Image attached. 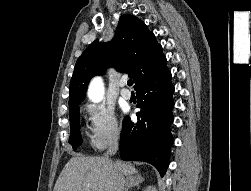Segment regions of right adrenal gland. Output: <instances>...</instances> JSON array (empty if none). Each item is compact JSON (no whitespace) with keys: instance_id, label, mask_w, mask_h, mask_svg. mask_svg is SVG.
I'll use <instances>...</instances> for the list:
<instances>
[{"instance_id":"right-adrenal-gland-1","label":"right adrenal gland","mask_w":251,"mask_h":191,"mask_svg":"<svg viewBox=\"0 0 251 191\" xmlns=\"http://www.w3.org/2000/svg\"><path fill=\"white\" fill-rule=\"evenodd\" d=\"M142 181H144V177H142L140 173H135V175H129V177H126L125 181V191H129L131 187L139 185V183H142Z\"/></svg>"}]
</instances>
